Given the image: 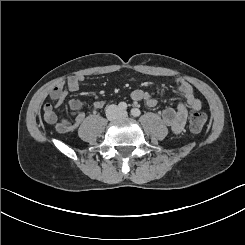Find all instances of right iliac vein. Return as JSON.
Listing matches in <instances>:
<instances>
[{"label": "right iliac vein", "mask_w": 245, "mask_h": 245, "mask_svg": "<svg viewBox=\"0 0 245 245\" xmlns=\"http://www.w3.org/2000/svg\"><path fill=\"white\" fill-rule=\"evenodd\" d=\"M116 112V107L115 106H112L111 107V113H115ZM114 118H117V116H114Z\"/></svg>", "instance_id": "63e3f726"}]
</instances>
